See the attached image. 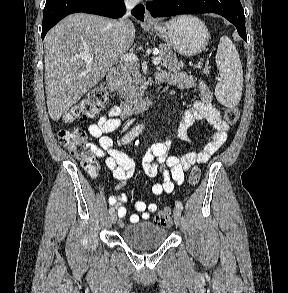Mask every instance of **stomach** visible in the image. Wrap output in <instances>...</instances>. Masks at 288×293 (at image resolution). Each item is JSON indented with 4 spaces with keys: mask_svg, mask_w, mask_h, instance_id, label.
Returning a JSON list of instances; mask_svg holds the SVG:
<instances>
[{
    "mask_svg": "<svg viewBox=\"0 0 288 293\" xmlns=\"http://www.w3.org/2000/svg\"><path fill=\"white\" fill-rule=\"evenodd\" d=\"M149 28L178 53L188 57L202 52L210 40L205 23L192 15L178 16L167 22H156Z\"/></svg>",
    "mask_w": 288,
    "mask_h": 293,
    "instance_id": "stomach-1",
    "label": "stomach"
}]
</instances>
